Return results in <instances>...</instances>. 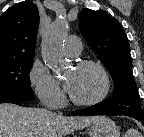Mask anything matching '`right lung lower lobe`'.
<instances>
[{
	"label": "right lung lower lobe",
	"instance_id": "right-lung-lower-lobe-1",
	"mask_svg": "<svg viewBox=\"0 0 144 137\" xmlns=\"http://www.w3.org/2000/svg\"><path fill=\"white\" fill-rule=\"evenodd\" d=\"M0 103H14V104H18L20 105L19 100H15V99H0Z\"/></svg>",
	"mask_w": 144,
	"mask_h": 137
}]
</instances>
